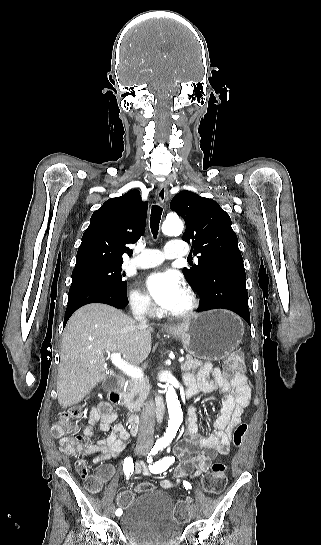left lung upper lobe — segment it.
<instances>
[{"label":"left lung upper lobe","instance_id":"left-lung-upper-lobe-1","mask_svg":"<svg viewBox=\"0 0 321 545\" xmlns=\"http://www.w3.org/2000/svg\"><path fill=\"white\" fill-rule=\"evenodd\" d=\"M170 207L185 220L182 239L188 243L191 240L193 254H199L198 264L183 268V274L195 287L218 263L243 259L231 219L216 201L181 191L172 199Z\"/></svg>","mask_w":321,"mask_h":545}]
</instances>
